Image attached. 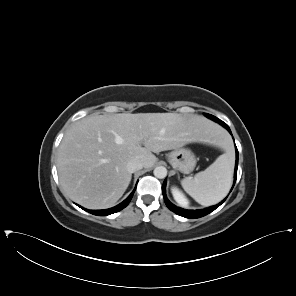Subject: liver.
<instances>
[{
    "mask_svg": "<svg viewBox=\"0 0 296 296\" xmlns=\"http://www.w3.org/2000/svg\"><path fill=\"white\" fill-rule=\"evenodd\" d=\"M218 136V127L196 114L87 116L70 127L59 146V182L63 192L81 206L108 208L130 184L129 161L137 159L150 168L157 160L152 152L192 142L215 143Z\"/></svg>",
    "mask_w": 296,
    "mask_h": 296,
    "instance_id": "1",
    "label": "liver"
}]
</instances>
